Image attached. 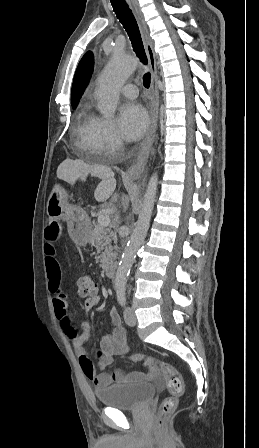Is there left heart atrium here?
Segmentation results:
<instances>
[{
    "mask_svg": "<svg viewBox=\"0 0 259 448\" xmlns=\"http://www.w3.org/2000/svg\"><path fill=\"white\" fill-rule=\"evenodd\" d=\"M148 126V115L138 102H128L121 106L118 116V128L127 141L138 140Z\"/></svg>",
    "mask_w": 259,
    "mask_h": 448,
    "instance_id": "obj_1",
    "label": "left heart atrium"
}]
</instances>
